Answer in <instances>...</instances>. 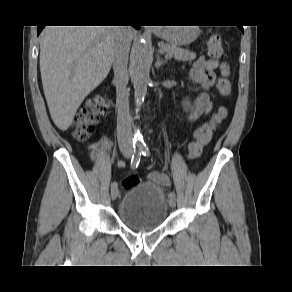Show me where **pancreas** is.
I'll return each mask as SVG.
<instances>
[{"mask_svg":"<svg viewBox=\"0 0 292 292\" xmlns=\"http://www.w3.org/2000/svg\"><path fill=\"white\" fill-rule=\"evenodd\" d=\"M159 45L161 49L167 53L168 57H174L176 60L192 61L196 58V54L194 52L183 49L176 45L165 44L163 42H161Z\"/></svg>","mask_w":292,"mask_h":292,"instance_id":"obj_1","label":"pancreas"}]
</instances>
